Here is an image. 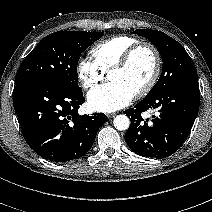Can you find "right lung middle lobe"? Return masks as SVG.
<instances>
[{"label":"right lung middle lobe","mask_w":212,"mask_h":212,"mask_svg":"<svg viewBox=\"0 0 212 212\" xmlns=\"http://www.w3.org/2000/svg\"><path fill=\"white\" fill-rule=\"evenodd\" d=\"M103 35L102 32L58 31L44 37L22 62L15 83L46 80L74 92L81 91L77 62L81 53Z\"/></svg>","instance_id":"1"}]
</instances>
